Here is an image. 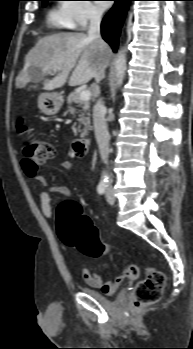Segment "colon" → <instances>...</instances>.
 <instances>
[{"label":"colon","mask_w":193,"mask_h":349,"mask_svg":"<svg viewBox=\"0 0 193 349\" xmlns=\"http://www.w3.org/2000/svg\"><path fill=\"white\" fill-rule=\"evenodd\" d=\"M19 131L25 133L27 128L21 123ZM25 161L39 168L41 164L51 159L55 154L52 143L25 135L22 142ZM58 234L68 246L77 248L88 256H100L110 248L101 239L98 230L90 219L80 212L77 204L66 201L60 204L58 211ZM165 285V275L154 268L147 270L145 278L140 281L134 291L135 305L142 306L157 302Z\"/></svg>","instance_id":"1"}]
</instances>
